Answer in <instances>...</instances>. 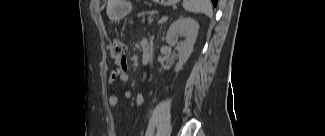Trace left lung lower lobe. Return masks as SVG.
<instances>
[{
  "mask_svg": "<svg viewBox=\"0 0 325 136\" xmlns=\"http://www.w3.org/2000/svg\"><path fill=\"white\" fill-rule=\"evenodd\" d=\"M212 2H213V4H214V6H216V4H217V0H212Z\"/></svg>",
  "mask_w": 325,
  "mask_h": 136,
  "instance_id": "obj_1",
  "label": "left lung lower lobe"
}]
</instances>
